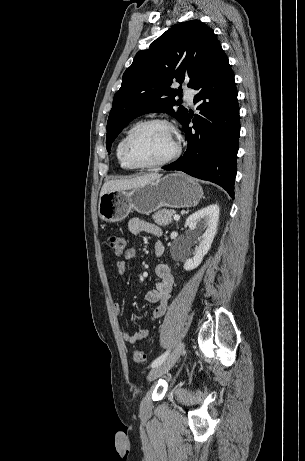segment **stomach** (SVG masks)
I'll use <instances>...</instances> for the list:
<instances>
[{"instance_id":"stomach-1","label":"stomach","mask_w":305,"mask_h":461,"mask_svg":"<svg viewBox=\"0 0 305 461\" xmlns=\"http://www.w3.org/2000/svg\"><path fill=\"white\" fill-rule=\"evenodd\" d=\"M202 196L203 190L197 181L183 173H172L130 190L103 194L98 213L104 221L119 222L132 210L149 214L161 207H193Z\"/></svg>"}]
</instances>
